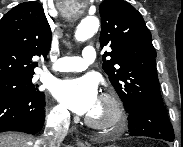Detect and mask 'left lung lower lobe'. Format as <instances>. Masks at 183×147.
<instances>
[{
	"instance_id": "obj_1",
	"label": "left lung lower lobe",
	"mask_w": 183,
	"mask_h": 147,
	"mask_svg": "<svg viewBox=\"0 0 183 147\" xmlns=\"http://www.w3.org/2000/svg\"><path fill=\"white\" fill-rule=\"evenodd\" d=\"M128 117L130 135L174 141V131L164 105L141 104Z\"/></svg>"
}]
</instances>
